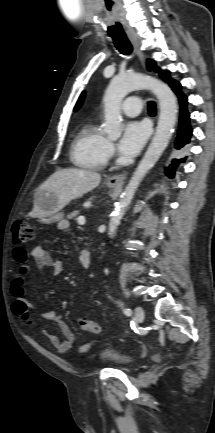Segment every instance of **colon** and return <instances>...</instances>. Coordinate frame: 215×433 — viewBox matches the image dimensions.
<instances>
[{"label":"colon","instance_id":"colon-1","mask_svg":"<svg viewBox=\"0 0 215 433\" xmlns=\"http://www.w3.org/2000/svg\"><path fill=\"white\" fill-rule=\"evenodd\" d=\"M33 238V229L25 221L17 220L12 226V242L14 245H22L29 242ZM79 325L82 330L91 333H99L101 327L99 323L85 318L79 319Z\"/></svg>","mask_w":215,"mask_h":433}]
</instances>
